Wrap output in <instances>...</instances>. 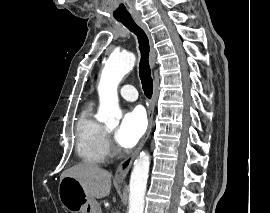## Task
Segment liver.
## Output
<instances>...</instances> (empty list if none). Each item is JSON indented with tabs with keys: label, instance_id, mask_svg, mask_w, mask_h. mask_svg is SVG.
<instances>
[{
	"label": "liver",
	"instance_id": "obj_1",
	"mask_svg": "<svg viewBox=\"0 0 270 213\" xmlns=\"http://www.w3.org/2000/svg\"><path fill=\"white\" fill-rule=\"evenodd\" d=\"M66 176L78 180L91 198L101 199L110 194L111 174L95 164L79 163L74 165L65 170L61 178ZM113 201H116L115 197Z\"/></svg>",
	"mask_w": 270,
	"mask_h": 213
}]
</instances>
